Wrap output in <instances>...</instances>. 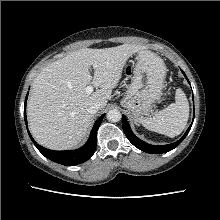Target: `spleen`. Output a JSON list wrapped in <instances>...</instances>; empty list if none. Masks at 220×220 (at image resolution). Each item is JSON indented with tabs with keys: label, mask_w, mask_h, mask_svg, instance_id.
I'll use <instances>...</instances> for the list:
<instances>
[{
	"label": "spleen",
	"mask_w": 220,
	"mask_h": 220,
	"mask_svg": "<svg viewBox=\"0 0 220 220\" xmlns=\"http://www.w3.org/2000/svg\"><path fill=\"white\" fill-rule=\"evenodd\" d=\"M188 117V100L185 93L178 88L175 93V103L155 113L153 117H141L139 120L146 129L173 138L184 130Z\"/></svg>",
	"instance_id": "1"
}]
</instances>
